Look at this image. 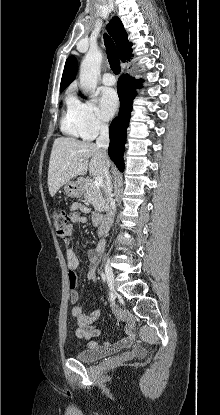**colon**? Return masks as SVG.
Masks as SVG:
<instances>
[{
  "label": "colon",
  "instance_id": "1",
  "mask_svg": "<svg viewBox=\"0 0 220 415\" xmlns=\"http://www.w3.org/2000/svg\"><path fill=\"white\" fill-rule=\"evenodd\" d=\"M54 226L57 234L62 236L70 221V214L64 210H56L52 214Z\"/></svg>",
  "mask_w": 220,
  "mask_h": 415
}]
</instances>
